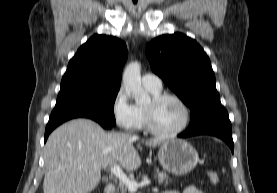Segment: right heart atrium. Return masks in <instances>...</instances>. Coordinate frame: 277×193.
Segmentation results:
<instances>
[{"instance_id":"right-heart-atrium-1","label":"right heart atrium","mask_w":277,"mask_h":193,"mask_svg":"<svg viewBox=\"0 0 277 193\" xmlns=\"http://www.w3.org/2000/svg\"><path fill=\"white\" fill-rule=\"evenodd\" d=\"M111 111L116 124L125 130H135L140 126L136 107L128 100L124 89L120 88L112 101Z\"/></svg>"}]
</instances>
